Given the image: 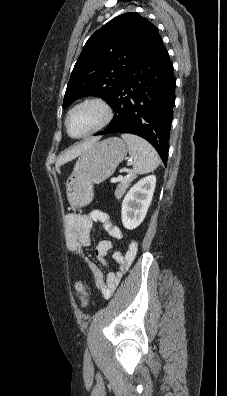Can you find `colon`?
Masks as SVG:
<instances>
[{"mask_svg":"<svg viewBox=\"0 0 227 396\" xmlns=\"http://www.w3.org/2000/svg\"><path fill=\"white\" fill-rule=\"evenodd\" d=\"M75 290H76L78 297L81 299L83 306H87L89 301L86 296L84 284L82 282H77L75 285Z\"/></svg>","mask_w":227,"mask_h":396,"instance_id":"1","label":"colon"}]
</instances>
